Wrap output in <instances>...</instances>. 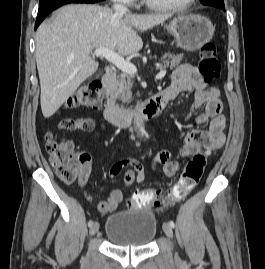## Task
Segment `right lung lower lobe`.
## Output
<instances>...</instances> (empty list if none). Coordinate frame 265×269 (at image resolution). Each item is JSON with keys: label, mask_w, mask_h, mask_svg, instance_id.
<instances>
[{"label": "right lung lower lobe", "mask_w": 265, "mask_h": 269, "mask_svg": "<svg viewBox=\"0 0 265 269\" xmlns=\"http://www.w3.org/2000/svg\"><path fill=\"white\" fill-rule=\"evenodd\" d=\"M104 0H40L38 16L35 29L40 25L44 18L53 10L68 3H96Z\"/></svg>", "instance_id": "obj_1"}]
</instances>
